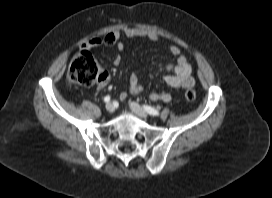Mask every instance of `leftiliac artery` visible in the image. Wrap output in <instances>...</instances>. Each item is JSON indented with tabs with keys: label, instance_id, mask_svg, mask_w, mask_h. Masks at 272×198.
Here are the masks:
<instances>
[{
	"label": "left iliac artery",
	"instance_id": "44dca946",
	"mask_svg": "<svg viewBox=\"0 0 272 198\" xmlns=\"http://www.w3.org/2000/svg\"><path fill=\"white\" fill-rule=\"evenodd\" d=\"M143 107H144L145 111L148 112L150 115H153V116L159 115V111L156 110L155 108L148 106V105H144Z\"/></svg>",
	"mask_w": 272,
	"mask_h": 198
}]
</instances>
